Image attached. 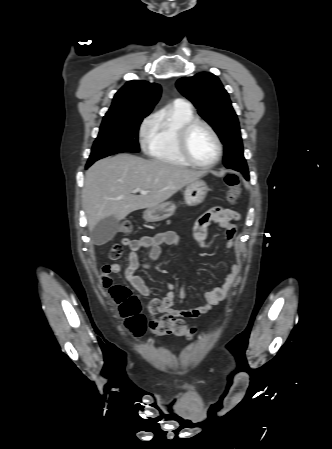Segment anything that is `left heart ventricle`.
Returning a JSON list of instances; mask_svg holds the SVG:
<instances>
[{"label": "left heart ventricle", "mask_w": 332, "mask_h": 449, "mask_svg": "<svg viewBox=\"0 0 332 449\" xmlns=\"http://www.w3.org/2000/svg\"><path fill=\"white\" fill-rule=\"evenodd\" d=\"M188 147L193 158L200 163H210L216 157L215 141L203 126H197L191 131L188 138Z\"/></svg>", "instance_id": "b2bd125f"}]
</instances>
